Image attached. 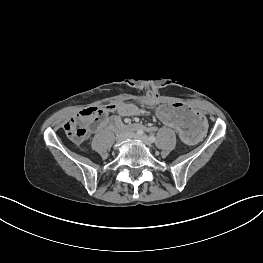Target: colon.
<instances>
[{
  "instance_id": "5ec220e1",
  "label": "colon",
  "mask_w": 263,
  "mask_h": 263,
  "mask_svg": "<svg viewBox=\"0 0 263 263\" xmlns=\"http://www.w3.org/2000/svg\"><path fill=\"white\" fill-rule=\"evenodd\" d=\"M149 99L153 100V95H149ZM114 105H107L102 109L91 108L82 111L76 117L71 118L64 124L66 135L76 143H82L88 134L89 129L97 126L100 119L108 112H111Z\"/></svg>"
}]
</instances>
